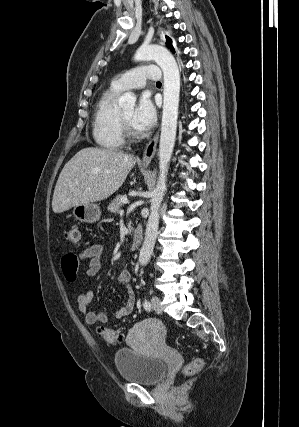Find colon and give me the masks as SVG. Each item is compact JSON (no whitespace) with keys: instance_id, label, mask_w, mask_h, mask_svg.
<instances>
[{"instance_id":"colon-1","label":"colon","mask_w":299,"mask_h":427,"mask_svg":"<svg viewBox=\"0 0 299 427\" xmlns=\"http://www.w3.org/2000/svg\"><path fill=\"white\" fill-rule=\"evenodd\" d=\"M64 238L66 242L71 245H79L81 243V231L78 225L70 226L64 233ZM99 336L108 343H120L123 340L122 334L107 328L99 327L98 329ZM203 359L194 358L192 361L187 363L184 367V375L192 376L201 370L203 366Z\"/></svg>"}]
</instances>
